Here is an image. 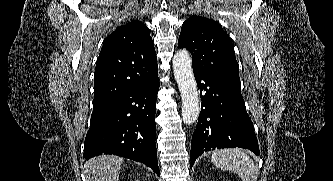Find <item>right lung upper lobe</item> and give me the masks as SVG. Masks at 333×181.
I'll return each instance as SVG.
<instances>
[{"label": "right lung upper lobe", "mask_w": 333, "mask_h": 181, "mask_svg": "<svg viewBox=\"0 0 333 181\" xmlns=\"http://www.w3.org/2000/svg\"><path fill=\"white\" fill-rule=\"evenodd\" d=\"M94 79L93 108L158 79L153 41L143 23L133 20L106 38Z\"/></svg>", "instance_id": "cb5924a9"}]
</instances>
